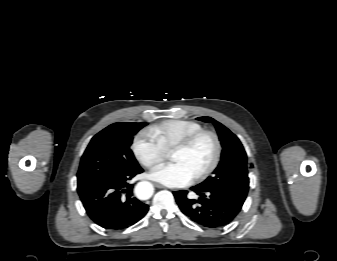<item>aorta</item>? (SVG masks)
<instances>
[{
	"mask_svg": "<svg viewBox=\"0 0 337 261\" xmlns=\"http://www.w3.org/2000/svg\"><path fill=\"white\" fill-rule=\"evenodd\" d=\"M154 192L153 185L148 181H141L135 187V194L139 199L147 200Z\"/></svg>",
	"mask_w": 337,
	"mask_h": 261,
	"instance_id": "762f6f07",
	"label": "aorta"
}]
</instances>
